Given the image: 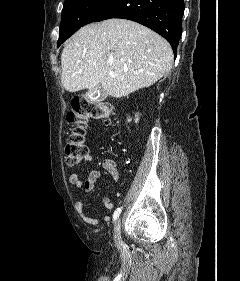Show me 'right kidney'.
<instances>
[{
	"mask_svg": "<svg viewBox=\"0 0 240 281\" xmlns=\"http://www.w3.org/2000/svg\"><path fill=\"white\" fill-rule=\"evenodd\" d=\"M128 121H130V120H128ZM138 121V118H136V122Z\"/></svg>",
	"mask_w": 240,
	"mask_h": 281,
	"instance_id": "right-kidney-1",
	"label": "right kidney"
}]
</instances>
